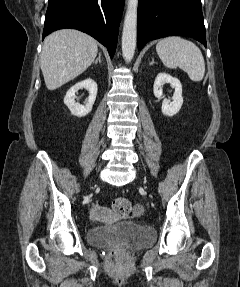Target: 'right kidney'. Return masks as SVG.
<instances>
[{
  "label": "right kidney",
  "instance_id": "1",
  "mask_svg": "<svg viewBox=\"0 0 240 287\" xmlns=\"http://www.w3.org/2000/svg\"><path fill=\"white\" fill-rule=\"evenodd\" d=\"M85 88L89 91L88 100L85 105H80L75 102V93ZM97 84L94 80L88 78L72 86L66 93L64 98L65 105L69 108L72 115L77 117H84L92 110L93 104L97 96Z\"/></svg>",
  "mask_w": 240,
  "mask_h": 287
}]
</instances>
